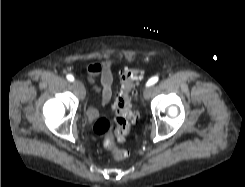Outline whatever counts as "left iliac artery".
Masks as SVG:
<instances>
[{
  "label": "left iliac artery",
  "instance_id": "obj_1",
  "mask_svg": "<svg viewBox=\"0 0 245 187\" xmlns=\"http://www.w3.org/2000/svg\"><path fill=\"white\" fill-rule=\"evenodd\" d=\"M158 80H159V78L157 76L151 77L148 80V82L146 83V86H151V85L155 84Z\"/></svg>",
  "mask_w": 245,
  "mask_h": 187
}]
</instances>
